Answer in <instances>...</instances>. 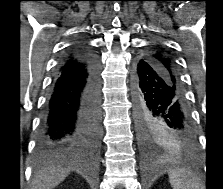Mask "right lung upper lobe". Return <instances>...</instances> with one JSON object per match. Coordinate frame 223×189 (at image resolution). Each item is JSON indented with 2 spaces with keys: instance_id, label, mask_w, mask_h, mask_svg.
<instances>
[{
  "instance_id": "cb5924a9",
  "label": "right lung upper lobe",
  "mask_w": 223,
  "mask_h": 189,
  "mask_svg": "<svg viewBox=\"0 0 223 189\" xmlns=\"http://www.w3.org/2000/svg\"><path fill=\"white\" fill-rule=\"evenodd\" d=\"M93 54L82 44H78L67 53L62 71L69 74H77L86 67V60Z\"/></svg>"
}]
</instances>
